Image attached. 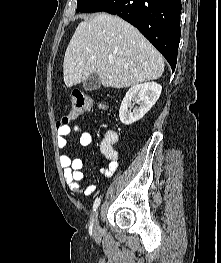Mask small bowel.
Listing matches in <instances>:
<instances>
[{"label":"small bowel","instance_id":"obj_1","mask_svg":"<svg viewBox=\"0 0 221 263\" xmlns=\"http://www.w3.org/2000/svg\"><path fill=\"white\" fill-rule=\"evenodd\" d=\"M73 133L78 136L79 143L83 147L93 146V136L90 132L84 131L80 125H75L72 128L63 126L59 128L56 143L58 148L64 149L67 146V136ZM118 141V135L115 131H108L102 139L99 151L109 161L107 167L100 169V174L103 177L110 178L118 168V153L114 149V144ZM59 162L64 170V179L71 192L75 194L91 195L96 186L92 183L81 186L80 182L84 179L82 172L83 161L80 157H70L66 153H61Z\"/></svg>","mask_w":221,"mask_h":263}]
</instances>
